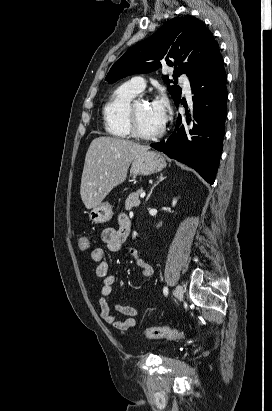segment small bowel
<instances>
[{
	"instance_id": "obj_1",
	"label": "small bowel",
	"mask_w": 272,
	"mask_h": 411,
	"mask_svg": "<svg viewBox=\"0 0 272 411\" xmlns=\"http://www.w3.org/2000/svg\"><path fill=\"white\" fill-rule=\"evenodd\" d=\"M130 232L131 222L127 217L123 216L119 218L118 228L108 227L103 229L101 239L110 252L117 253L124 248ZM125 249L134 259L141 275L143 277H150L153 273L152 264L148 260L141 258L136 249L131 247H126ZM91 257L96 263V275L102 280L101 296L98 300L102 320L119 331L136 328L138 326L136 317L140 314V311L137 308L116 303L114 305L115 311L123 316L122 319H118L113 314L108 304L107 299L113 293L116 278L109 272V266L105 259L104 250L102 248H95L91 253ZM120 285H122V282H120Z\"/></svg>"
}]
</instances>
